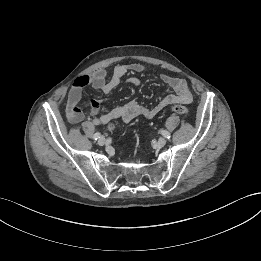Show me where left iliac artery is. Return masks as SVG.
I'll use <instances>...</instances> for the list:
<instances>
[{"mask_svg": "<svg viewBox=\"0 0 261 261\" xmlns=\"http://www.w3.org/2000/svg\"><path fill=\"white\" fill-rule=\"evenodd\" d=\"M160 132H161V134H162L165 138H167V139H170V138H171V135H170V133H169L168 131H166V130H161Z\"/></svg>", "mask_w": 261, "mask_h": 261, "instance_id": "obj_1", "label": "left iliac artery"}]
</instances>
